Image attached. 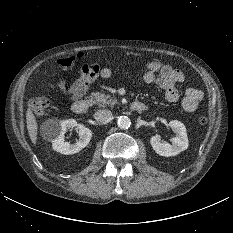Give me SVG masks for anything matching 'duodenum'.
<instances>
[{
    "mask_svg": "<svg viewBox=\"0 0 233 233\" xmlns=\"http://www.w3.org/2000/svg\"><path fill=\"white\" fill-rule=\"evenodd\" d=\"M90 101L88 99H78L73 102L71 109L73 113L77 115H82L88 110ZM130 109L134 112L143 113L148 111L149 107L147 104L139 101L131 103Z\"/></svg>",
    "mask_w": 233,
    "mask_h": 233,
    "instance_id": "obj_1",
    "label": "duodenum"
}]
</instances>
